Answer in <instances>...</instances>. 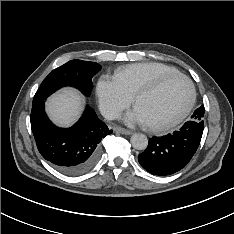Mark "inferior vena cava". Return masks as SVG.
Segmentation results:
<instances>
[{
	"instance_id": "602c4592",
	"label": "inferior vena cava",
	"mask_w": 234,
	"mask_h": 234,
	"mask_svg": "<svg viewBox=\"0 0 234 234\" xmlns=\"http://www.w3.org/2000/svg\"><path fill=\"white\" fill-rule=\"evenodd\" d=\"M102 115L108 120H113L119 118L120 113L114 109H107L102 111Z\"/></svg>"
}]
</instances>
